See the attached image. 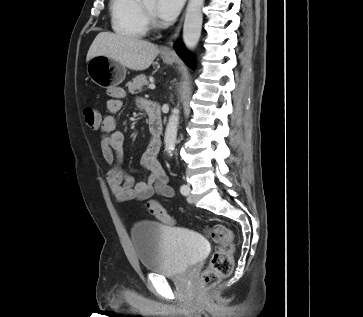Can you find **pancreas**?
Returning <instances> with one entry per match:
<instances>
[{
	"label": "pancreas",
	"mask_w": 363,
	"mask_h": 317,
	"mask_svg": "<svg viewBox=\"0 0 363 317\" xmlns=\"http://www.w3.org/2000/svg\"><path fill=\"white\" fill-rule=\"evenodd\" d=\"M145 85H148V80L146 75L144 74L137 75L135 78L132 79V81L127 83L128 91L131 94L141 92L143 86Z\"/></svg>",
	"instance_id": "pancreas-1"
}]
</instances>
